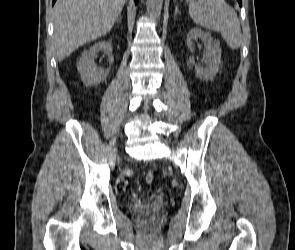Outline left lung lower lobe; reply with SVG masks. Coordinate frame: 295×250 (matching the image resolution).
Wrapping results in <instances>:
<instances>
[{"instance_id": "0a47b994", "label": "left lung lower lobe", "mask_w": 295, "mask_h": 250, "mask_svg": "<svg viewBox=\"0 0 295 250\" xmlns=\"http://www.w3.org/2000/svg\"><path fill=\"white\" fill-rule=\"evenodd\" d=\"M239 5L241 6L242 5V0H237Z\"/></svg>"}]
</instances>
